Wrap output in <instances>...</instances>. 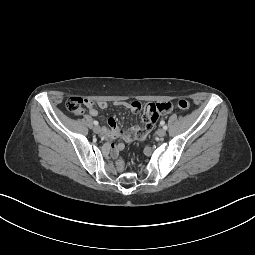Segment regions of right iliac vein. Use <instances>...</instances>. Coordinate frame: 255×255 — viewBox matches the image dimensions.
<instances>
[{
	"label": "right iliac vein",
	"mask_w": 255,
	"mask_h": 255,
	"mask_svg": "<svg viewBox=\"0 0 255 255\" xmlns=\"http://www.w3.org/2000/svg\"><path fill=\"white\" fill-rule=\"evenodd\" d=\"M93 131H94L95 133L99 134V133L101 132V128H100L99 126H95V127L93 128Z\"/></svg>",
	"instance_id": "obj_1"
}]
</instances>
